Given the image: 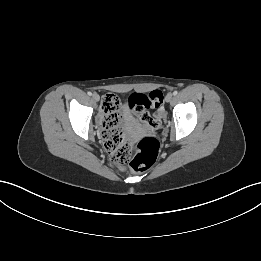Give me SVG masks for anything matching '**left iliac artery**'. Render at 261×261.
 <instances>
[{
    "instance_id": "1",
    "label": "left iliac artery",
    "mask_w": 261,
    "mask_h": 261,
    "mask_svg": "<svg viewBox=\"0 0 261 261\" xmlns=\"http://www.w3.org/2000/svg\"><path fill=\"white\" fill-rule=\"evenodd\" d=\"M177 94H178V92H177V91H174V92H173V95H174V96H176Z\"/></svg>"
}]
</instances>
